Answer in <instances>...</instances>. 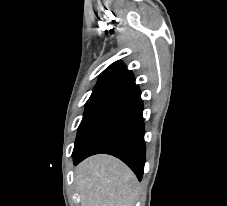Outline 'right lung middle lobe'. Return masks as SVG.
<instances>
[{"label": "right lung middle lobe", "mask_w": 227, "mask_h": 206, "mask_svg": "<svg viewBox=\"0 0 227 206\" xmlns=\"http://www.w3.org/2000/svg\"><path fill=\"white\" fill-rule=\"evenodd\" d=\"M130 84L121 82L99 83L86 102L83 119L79 125L75 147L77 149L83 139L88 135L96 124L98 118L119 98L129 90Z\"/></svg>", "instance_id": "obj_1"}]
</instances>
